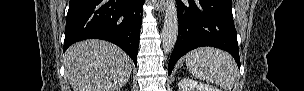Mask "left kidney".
Instances as JSON below:
<instances>
[{
	"label": "left kidney",
	"instance_id": "1",
	"mask_svg": "<svg viewBox=\"0 0 304 91\" xmlns=\"http://www.w3.org/2000/svg\"><path fill=\"white\" fill-rule=\"evenodd\" d=\"M178 87L179 91H221L212 85L203 84L189 78L180 80Z\"/></svg>",
	"mask_w": 304,
	"mask_h": 91
}]
</instances>
